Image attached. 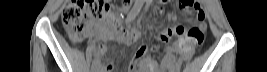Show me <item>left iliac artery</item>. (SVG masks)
<instances>
[{"label": "left iliac artery", "instance_id": "1", "mask_svg": "<svg viewBox=\"0 0 267 72\" xmlns=\"http://www.w3.org/2000/svg\"><path fill=\"white\" fill-rule=\"evenodd\" d=\"M150 6V3L149 2H147V5H146V9H148V7Z\"/></svg>", "mask_w": 267, "mask_h": 72}]
</instances>
